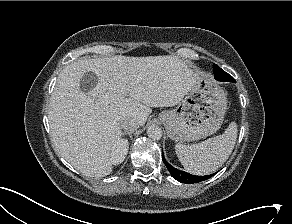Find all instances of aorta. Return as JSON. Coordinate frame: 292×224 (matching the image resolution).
<instances>
[{
  "instance_id": "aorta-1",
  "label": "aorta",
  "mask_w": 292,
  "mask_h": 224,
  "mask_svg": "<svg viewBox=\"0 0 292 224\" xmlns=\"http://www.w3.org/2000/svg\"><path fill=\"white\" fill-rule=\"evenodd\" d=\"M147 135L153 140H159L162 137V130L158 125H150L147 128Z\"/></svg>"
}]
</instances>
